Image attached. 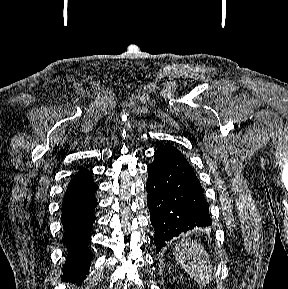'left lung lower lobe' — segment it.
I'll return each instance as SVG.
<instances>
[{
  "label": "left lung lower lobe",
  "mask_w": 288,
  "mask_h": 289,
  "mask_svg": "<svg viewBox=\"0 0 288 289\" xmlns=\"http://www.w3.org/2000/svg\"><path fill=\"white\" fill-rule=\"evenodd\" d=\"M148 174L147 205L157 253L174 236L212 224L200 181L178 149L160 146Z\"/></svg>",
  "instance_id": "left-lung-lower-lobe-1"
}]
</instances>
